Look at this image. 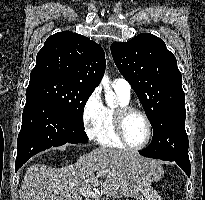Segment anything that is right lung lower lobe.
Listing matches in <instances>:
<instances>
[{"instance_id": "obj_1", "label": "right lung lower lobe", "mask_w": 205, "mask_h": 200, "mask_svg": "<svg viewBox=\"0 0 205 200\" xmlns=\"http://www.w3.org/2000/svg\"><path fill=\"white\" fill-rule=\"evenodd\" d=\"M84 127L61 110L39 98H26L22 126L17 141V170L33 155L66 143H85Z\"/></svg>"}]
</instances>
